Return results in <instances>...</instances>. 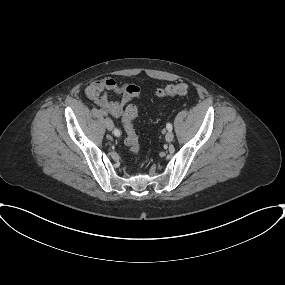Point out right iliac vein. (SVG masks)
<instances>
[{
	"mask_svg": "<svg viewBox=\"0 0 285 285\" xmlns=\"http://www.w3.org/2000/svg\"><path fill=\"white\" fill-rule=\"evenodd\" d=\"M105 126H106L107 130L112 131L114 128L113 121L110 118H106L105 119Z\"/></svg>",
	"mask_w": 285,
	"mask_h": 285,
	"instance_id": "right-iliac-vein-1",
	"label": "right iliac vein"
}]
</instances>
